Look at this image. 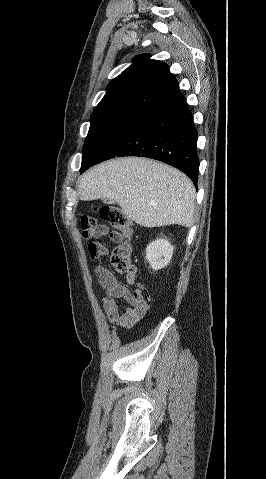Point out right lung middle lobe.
I'll list each match as a JSON object with an SVG mask.
<instances>
[{"instance_id": "1", "label": "right lung middle lobe", "mask_w": 266, "mask_h": 479, "mask_svg": "<svg viewBox=\"0 0 266 479\" xmlns=\"http://www.w3.org/2000/svg\"><path fill=\"white\" fill-rule=\"evenodd\" d=\"M139 113L120 110L91 116L90 129L82 151L80 173L87 170L105 146Z\"/></svg>"}]
</instances>
